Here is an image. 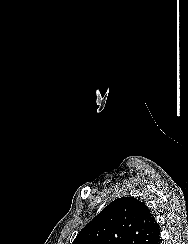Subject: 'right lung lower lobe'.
I'll return each instance as SVG.
<instances>
[{"label": "right lung lower lobe", "instance_id": "1", "mask_svg": "<svg viewBox=\"0 0 188 244\" xmlns=\"http://www.w3.org/2000/svg\"><path fill=\"white\" fill-rule=\"evenodd\" d=\"M160 230L152 237L148 244H160Z\"/></svg>", "mask_w": 188, "mask_h": 244}]
</instances>
